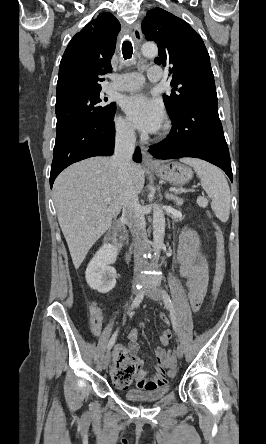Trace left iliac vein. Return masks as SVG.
<instances>
[{
    "label": "left iliac vein",
    "mask_w": 266,
    "mask_h": 444,
    "mask_svg": "<svg viewBox=\"0 0 266 444\" xmlns=\"http://www.w3.org/2000/svg\"><path fill=\"white\" fill-rule=\"evenodd\" d=\"M146 294L154 301L161 302L162 301V292L156 286H152L151 288L146 290ZM176 357L181 359L183 357V346L181 343L178 344L176 351Z\"/></svg>",
    "instance_id": "4c4485c4"
}]
</instances>
